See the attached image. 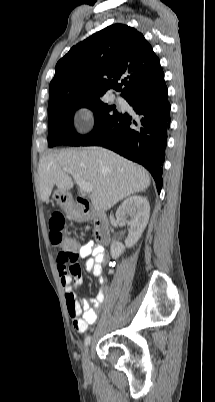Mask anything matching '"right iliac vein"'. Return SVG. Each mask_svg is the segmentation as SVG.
<instances>
[{
  "label": "right iliac vein",
  "instance_id": "right-iliac-vein-1",
  "mask_svg": "<svg viewBox=\"0 0 215 402\" xmlns=\"http://www.w3.org/2000/svg\"><path fill=\"white\" fill-rule=\"evenodd\" d=\"M83 370L86 375L90 374V350L87 349L83 356Z\"/></svg>",
  "mask_w": 215,
  "mask_h": 402
}]
</instances>
